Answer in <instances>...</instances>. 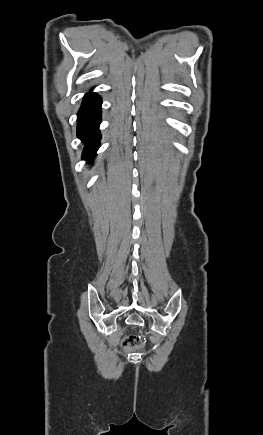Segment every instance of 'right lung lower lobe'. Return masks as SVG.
<instances>
[{"label": "right lung lower lobe", "instance_id": "1", "mask_svg": "<svg viewBox=\"0 0 263 435\" xmlns=\"http://www.w3.org/2000/svg\"><path fill=\"white\" fill-rule=\"evenodd\" d=\"M101 98L95 94H88L77 114V136L85 143L83 159L91 161L99 148L101 139L99 125L101 123Z\"/></svg>", "mask_w": 263, "mask_h": 435}]
</instances>
